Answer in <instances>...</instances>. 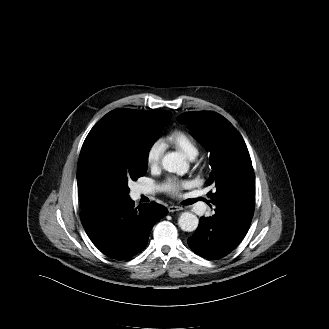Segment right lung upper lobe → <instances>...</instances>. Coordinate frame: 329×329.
Here are the masks:
<instances>
[{
	"instance_id": "1",
	"label": "right lung upper lobe",
	"mask_w": 329,
	"mask_h": 329,
	"mask_svg": "<svg viewBox=\"0 0 329 329\" xmlns=\"http://www.w3.org/2000/svg\"><path fill=\"white\" fill-rule=\"evenodd\" d=\"M110 116H119L128 124V126L137 129H144L153 123L157 118L171 117L169 111H138L133 109H116L107 113L90 131L86 137L80 155L84 154L86 150L94 147L98 142L104 138V133L98 128L103 121Z\"/></svg>"
}]
</instances>
